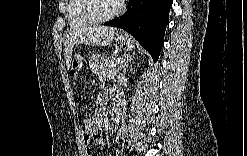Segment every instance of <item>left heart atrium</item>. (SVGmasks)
<instances>
[{"label":"left heart atrium","mask_w":247,"mask_h":156,"mask_svg":"<svg viewBox=\"0 0 247 156\" xmlns=\"http://www.w3.org/2000/svg\"><path fill=\"white\" fill-rule=\"evenodd\" d=\"M117 2H118V3H122V0H118Z\"/></svg>","instance_id":"obj_1"}]
</instances>
